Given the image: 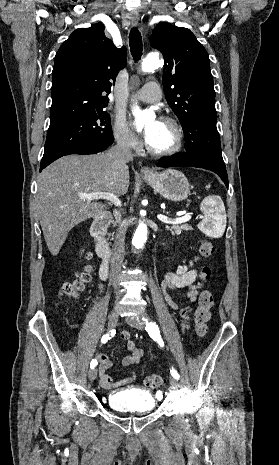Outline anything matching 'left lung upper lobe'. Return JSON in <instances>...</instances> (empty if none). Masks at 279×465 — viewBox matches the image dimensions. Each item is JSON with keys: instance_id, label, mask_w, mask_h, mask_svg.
Wrapping results in <instances>:
<instances>
[{"instance_id": "obj_1", "label": "left lung upper lobe", "mask_w": 279, "mask_h": 465, "mask_svg": "<svg viewBox=\"0 0 279 465\" xmlns=\"http://www.w3.org/2000/svg\"><path fill=\"white\" fill-rule=\"evenodd\" d=\"M150 41L164 56V92L183 126L186 151L225 165L216 128L213 77L205 48L189 29L166 22L155 27Z\"/></svg>"}]
</instances>
